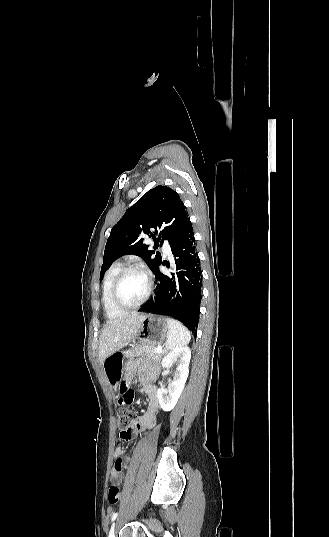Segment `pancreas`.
Instances as JSON below:
<instances>
[{"mask_svg":"<svg viewBox=\"0 0 329 537\" xmlns=\"http://www.w3.org/2000/svg\"><path fill=\"white\" fill-rule=\"evenodd\" d=\"M164 354H166L165 350L157 353L155 346L141 345L128 350L126 352V357L133 359L135 357L142 356L145 360L160 362Z\"/></svg>","mask_w":329,"mask_h":537,"instance_id":"cf45deb5","label":"pancreas"}]
</instances>
